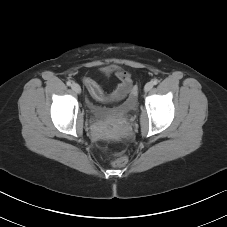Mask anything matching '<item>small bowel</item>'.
<instances>
[{"label":"small bowel","instance_id":"1","mask_svg":"<svg viewBox=\"0 0 227 227\" xmlns=\"http://www.w3.org/2000/svg\"><path fill=\"white\" fill-rule=\"evenodd\" d=\"M104 72L106 74L114 73L119 80V84L111 94L106 95L93 79L89 77L84 78V84L94 100L99 102L121 101L133 94L131 76L127 71L115 66H108L104 69Z\"/></svg>","mask_w":227,"mask_h":227}]
</instances>
